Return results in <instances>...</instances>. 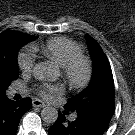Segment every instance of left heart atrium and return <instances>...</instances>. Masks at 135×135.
Listing matches in <instances>:
<instances>
[{
    "mask_svg": "<svg viewBox=\"0 0 135 135\" xmlns=\"http://www.w3.org/2000/svg\"><path fill=\"white\" fill-rule=\"evenodd\" d=\"M39 94L45 99H51L55 95L63 92V87L60 84L44 83L38 87Z\"/></svg>",
    "mask_w": 135,
    "mask_h": 135,
    "instance_id": "39dd6f15",
    "label": "left heart atrium"
}]
</instances>
